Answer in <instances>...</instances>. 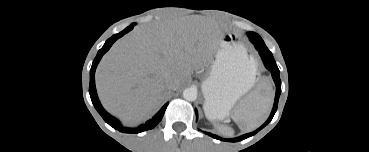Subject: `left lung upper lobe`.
I'll list each match as a JSON object with an SVG mask.
<instances>
[{"label": "left lung upper lobe", "mask_w": 369, "mask_h": 152, "mask_svg": "<svg viewBox=\"0 0 369 152\" xmlns=\"http://www.w3.org/2000/svg\"><path fill=\"white\" fill-rule=\"evenodd\" d=\"M248 36L249 37H260L257 33H254V32L248 33Z\"/></svg>", "instance_id": "left-lung-upper-lobe-1"}]
</instances>
